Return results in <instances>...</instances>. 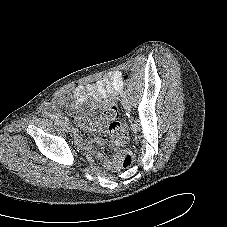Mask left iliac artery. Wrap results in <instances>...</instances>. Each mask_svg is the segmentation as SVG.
<instances>
[{
  "label": "left iliac artery",
  "instance_id": "44dca946",
  "mask_svg": "<svg viewBox=\"0 0 227 227\" xmlns=\"http://www.w3.org/2000/svg\"><path fill=\"white\" fill-rule=\"evenodd\" d=\"M120 96H121L122 98L126 99V94H125L123 91L120 93Z\"/></svg>",
  "mask_w": 227,
  "mask_h": 227
}]
</instances>
